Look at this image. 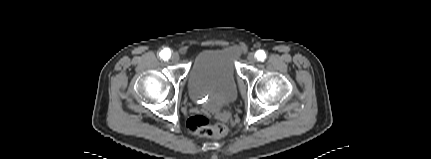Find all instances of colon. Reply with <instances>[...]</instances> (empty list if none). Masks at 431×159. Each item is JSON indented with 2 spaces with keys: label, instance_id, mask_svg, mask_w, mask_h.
Segmentation results:
<instances>
[{
  "label": "colon",
  "instance_id": "obj_1",
  "mask_svg": "<svg viewBox=\"0 0 431 159\" xmlns=\"http://www.w3.org/2000/svg\"><path fill=\"white\" fill-rule=\"evenodd\" d=\"M187 128L190 133L211 138H220L226 135L227 127L222 123L210 122L204 114H194L187 120Z\"/></svg>",
  "mask_w": 431,
  "mask_h": 159
}]
</instances>
